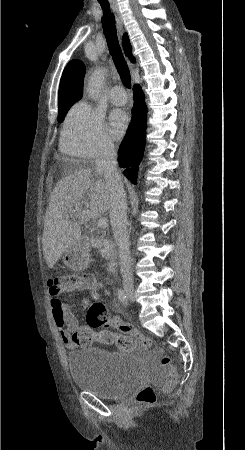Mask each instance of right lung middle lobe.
I'll list each match as a JSON object with an SVG mask.
<instances>
[{"instance_id":"1","label":"right lung middle lobe","mask_w":245,"mask_h":450,"mask_svg":"<svg viewBox=\"0 0 245 450\" xmlns=\"http://www.w3.org/2000/svg\"><path fill=\"white\" fill-rule=\"evenodd\" d=\"M72 105H73V103H70V104H66V105L59 107V113H58L59 121L63 120L64 115L67 113V111L69 110V108Z\"/></svg>"}]
</instances>
